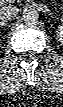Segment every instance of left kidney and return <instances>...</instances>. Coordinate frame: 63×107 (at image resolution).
<instances>
[{"label": "left kidney", "mask_w": 63, "mask_h": 107, "mask_svg": "<svg viewBox=\"0 0 63 107\" xmlns=\"http://www.w3.org/2000/svg\"><path fill=\"white\" fill-rule=\"evenodd\" d=\"M57 37L59 38L60 42H63V26H59L56 30Z\"/></svg>", "instance_id": "left-kidney-1"}]
</instances>
